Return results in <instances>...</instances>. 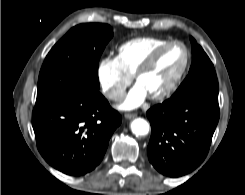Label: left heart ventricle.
<instances>
[{
    "instance_id": "b2bd125f",
    "label": "left heart ventricle",
    "mask_w": 245,
    "mask_h": 195,
    "mask_svg": "<svg viewBox=\"0 0 245 195\" xmlns=\"http://www.w3.org/2000/svg\"><path fill=\"white\" fill-rule=\"evenodd\" d=\"M184 58L180 46H172L165 50L154 65L138 80L148 95L155 94L164 89L182 65Z\"/></svg>"
}]
</instances>
